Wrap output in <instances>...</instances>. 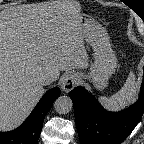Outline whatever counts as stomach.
<instances>
[{
    "label": "stomach",
    "mask_w": 144,
    "mask_h": 144,
    "mask_svg": "<svg viewBox=\"0 0 144 144\" xmlns=\"http://www.w3.org/2000/svg\"><path fill=\"white\" fill-rule=\"evenodd\" d=\"M82 36L93 49L94 62L87 72L80 73L101 91L107 87L108 80L116 71L117 57L113 51L107 30L90 15L81 13Z\"/></svg>",
    "instance_id": "obj_1"
}]
</instances>
